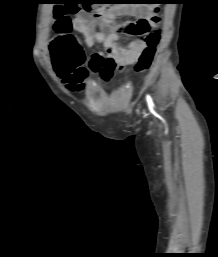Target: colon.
<instances>
[{
  "label": "colon",
  "instance_id": "colon-1",
  "mask_svg": "<svg viewBox=\"0 0 218 257\" xmlns=\"http://www.w3.org/2000/svg\"><path fill=\"white\" fill-rule=\"evenodd\" d=\"M98 9V5H81V10H93L94 16H100V12L96 11ZM65 10L69 14H74L78 11V5L57 6L54 29L58 35L52 40L50 49L56 71L60 76L66 77L82 67L85 54L79 40L70 34L71 22ZM136 10H144L141 17L125 24L121 29L129 35L145 38L147 41V48L136 65V71L143 72L150 67L155 56L160 37L157 30L160 18L154 5H136Z\"/></svg>",
  "mask_w": 218,
  "mask_h": 257
}]
</instances>
